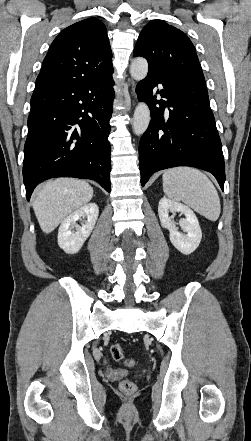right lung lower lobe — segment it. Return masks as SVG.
Returning <instances> with one entry per match:
<instances>
[{"mask_svg":"<svg viewBox=\"0 0 251 441\" xmlns=\"http://www.w3.org/2000/svg\"><path fill=\"white\" fill-rule=\"evenodd\" d=\"M112 73L35 87L24 146L27 200L36 185L54 177L91 179L111 191Z\"/></svg>","mask_w":251,"mask_h":441,"instance_id":"right-lung-lower-lobe-1","label":"right lung lower lobe"}]
</instances>
